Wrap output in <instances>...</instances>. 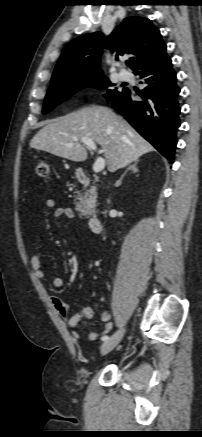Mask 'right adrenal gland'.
<instances>
[{
  "label": "right adrenal gland",
  "instance_id": "1",
  "mask_svg": "<svg viewBox=\"0 0 202 437\" xmlns=\"http://www.w3.org/2000/svg\"><path fill=\"white\" fill-rule=\"evenodd\" d=\"M137 164H138V161H135L134 164H132L131 166H129V168H127V170L123 173V175L121 176V178L116 182V184H115L116 187H118V186L121 185L122 180H123L125 174H126L129 170H131L133 173H136V172L139 171L138 168H137Z\"/></svg>",
  "mask_w": 202,
  "mask_h": 437
}]
</instances>
